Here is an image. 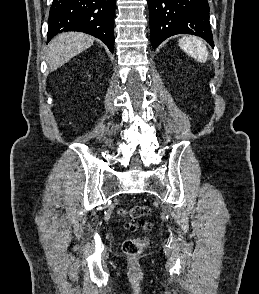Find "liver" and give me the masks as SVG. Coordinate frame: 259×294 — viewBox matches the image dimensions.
I'll return each mask as SVG.
<instances>
[{
	"label": "liver",
	"instance_id": "1",
	"mask_svg": "<svg viewBox=\"0 0 259 294\" xmlns=\"http://www.w3.org/2000/svg\"><path fill=\"white\" fill-rule=\"evenodd\" d=\"M94 38L79 32L61 33L54 37L47 52V62L52 71L67 63L70 59L91 47Z\"/></svg>",
	"mask_w": 259,
	"mask_h": 294
}]
</instances>
